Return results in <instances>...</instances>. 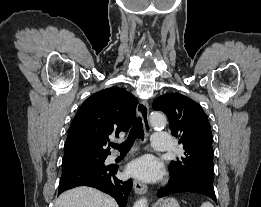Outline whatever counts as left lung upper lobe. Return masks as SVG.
Listing matches in <instances>:
<instances>
[{
    "mask_svg": "<svg viewBox=\"0 0 261 207\" xmlns=\"http://www.w3.org/2000/svg\"><path fill=\"white\" fill-rule=\"evenodd\" d=\"M152 106L167 115L172 134L183 145L184 156L170 163V173L201 177L213 182V137L201 106L180 93L161 95Z\"/></svg>",
    "mask_w": 261,
    "mask_h": 207,
    "instance_id": "obj_1",
    "label": "left lung upper lobe"
}]
</instances>
